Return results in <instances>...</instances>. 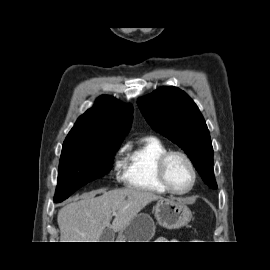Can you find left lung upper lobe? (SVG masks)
<instances>
[{"instance_id": "5c2ea615", "label": "left lung upper lobe", "mask_w": 270, "mask_h": 270, "mask_svg": "<svg viewBox=\"0 0 270 270\" xmlns=\"http://www.w3.org/2000/svg\"><path fill=\"white\" fill-rule=\"evenodd\" d=\"M137 103L150 126L181 147L203 181L216 189L210 134L193 100L177 87L163 86Z\"/></svg>"}]
</instances>
